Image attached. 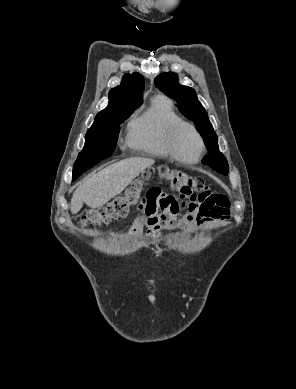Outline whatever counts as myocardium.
<instances>
[{
	"mask_svg": "<svg viewBox=\"0 0 296 389\" xmlns=\"http://www.w3.org/2000/svg\"><path fill=\"white\" fill-rule=\"evenodd\" d=\"M183 128L190 129L193 132V134L195 135V137L197 138L198 143H199L198 154H197L196 158H194L192 160L182 158L177 152L176 138H177L179 131ZM165 143H166V148H167L169 155L173 159H175L176 161L183 163V164H196V163H198L200 161V159L202 158L204 151H205V142H204V138H203L202 134L200 133V131L197 129V127L194 124H192L188 121H184V120H178L169 126L167 133H166Z\"/></svg>",
	"mask_w": 296,
	"mask_h": 389,
	"instance_id": "1",
	"label": "myocardium"
}]
</instances>
